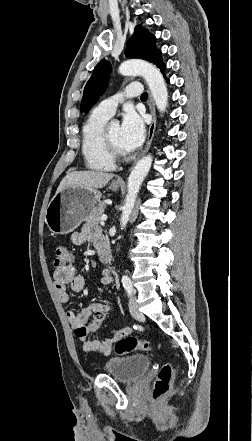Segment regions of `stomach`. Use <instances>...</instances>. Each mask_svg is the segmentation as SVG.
Wrapping results in <instances>:
<instances>
[{
  "instance_id": "obj_1",
  "label": "stomach",
  "mask_w": 252,
  "mask_h": 441,
  "mask_svg": "<svg viewBox=\"0 0 252 441\" xmlns=\"http://www.w3.org/2000/svg\"><path fill=\"white\" fill-rule=\"evenodd\" d=\"M111 190L119 185L112 183ZM101 193L97 189L69 186L53 196L48 204L45 222L53 234H68L75 230L100 203Z\"/></svg>"
}]
</instances>
